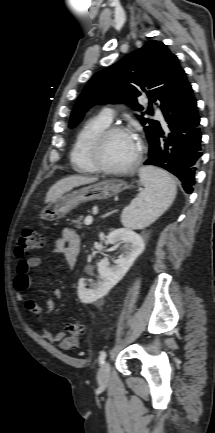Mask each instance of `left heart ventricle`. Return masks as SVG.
<instances>
[{
	"instance_id": "b2bd125f",
	"label": "left heart ventricle",
	"mask_w": 215,
	"mask_h": 433,
	"mask_svg": "<svg viewBox=\"0 0 215 433\" xmlns=\"http://www.w3.org/2000/svg\"><path fill=\"white\" fill-rule=\"evenodd\" d=\"M137 150L136 139L128 134L115 133L103 144L101 162L110 168H120L132 161Z\"/></svg>"
}]
</instances>
